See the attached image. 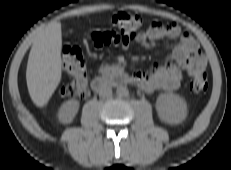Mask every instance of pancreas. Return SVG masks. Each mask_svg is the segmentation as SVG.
I'll return each mask as SVG.
<instances>
[{
	"label": "pancreas",
	"instance_id": "pancreas-1",
	"mask_svg": "<svg viewBox=\"0 0 231 170\" xmlns=\"http://www.w3.org/2000/svg\"><path fill=\"white\" fill-rule=\"evenodd\" d=\"M110 71H111V67H109V66H103L100 68V72L102 74H108Z\"/></svg>",
	"mask_w": 231,
	"mask_h": 170
}]
</instances>
